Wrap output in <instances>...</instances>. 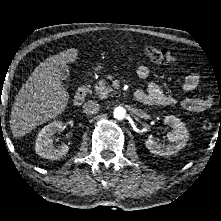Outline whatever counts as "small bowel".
Returning <instances> with one entry per match:
<instances>
[{"instance_id":"c3829d8e","label":"small bowel","mask_w":221,"mask_h":221,"mask_svg":"<svg viewBox=\"0 0 221 221\" xmlns=\"http://www.w3.org/2000/svg\"><path fill=\"white\" fill-rule=\"evenodd\" d=\"M141 79H146L150 74V69L147 65H140L136 71ZM200 83V77L196 73L188 74L183 82L182 90L186 93L192 92ZM138 95L135 99L147 106L172 105L178 99L172 95L166 94L163 89L155 83L148 85L146 90L137 91ZM212 98L200 97H184L180 100L182 107L190 112H202L212 105Z\"/></svg>"}]
</instances>
